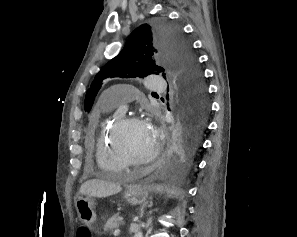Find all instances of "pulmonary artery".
Here are the masks:
<instances>
[{"instance_id": "e3ab8cb5", "label": "pulmonary artery", "mask_w": 297, "mask_h": 237, "mask_svg": "<svg viewBox=\"0 0 297 237\" xmlns=\"http://www.w3.org/2000/svg\"><path fill=\"white\" fill-rule=\"evenodd\" d=\"M149 88L153 91H163L166 88L165 82L160 76H153L146 80ZM132 99V90L124 89L118 95L109 97L106 101V106L124 108Z\"/></svg>"}]
</instances>
